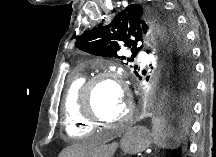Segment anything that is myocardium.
Instances as JSON below:
<instances>
[{"label":"myocardium","instance_id":"f54148a6","mask_svg":"<svg viewBox=\"0 0 216 157\" xmlns=\"http://www.w3.org/2000/svg\"><path fill=\"white\" fill-rule=\"evenodd\" d=\"M112 83L120 89L122 85L119 81V75L115 73H100L87 79L80 88L78 96L79 110L82 116L92 124H100L104 126L122 125L128 122L132 115V105L130 104L125 113L115 121H106L99 117L94 108V91L101 83Z\"/></svg>","mask_w":216,"mask_h":157}]
</instances>
